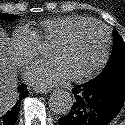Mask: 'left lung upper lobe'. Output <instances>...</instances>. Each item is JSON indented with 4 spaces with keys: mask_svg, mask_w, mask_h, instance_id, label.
Returning a JSON list of instances; mask_svg holds the SVG:
<instances>
[{
    "mask_svg": "<svg viewBox=\"0 0 125 125\" xmlns=\"http://www.w3.org/2000/svg\"><path fill=\"white\" fill-rule=\"evenodd\" d=\"M113 52L103 71L91 81H99L117 73L125 72V43L117 31H113Z\"/></svg>",
    "mask_w": 125,
    "mask_h": 125,
    "instance_id": "obj_1",
    "label": "left lung upper lobe"
}]
</instances>
